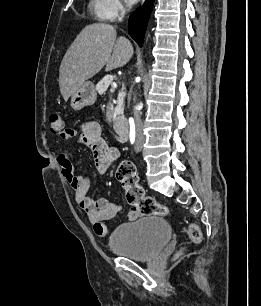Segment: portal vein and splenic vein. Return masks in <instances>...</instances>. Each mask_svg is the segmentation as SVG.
I'll return each mask as SVG.
<instances>
[{"mask_svg": "<svg viewBox=\"0 0 261 306\" xmlns=\"http://www.w3.org/2000/svg\"><path fill=\"white\" fill-rule=\"evenodd\" d=\"M112 87H117V84L115 82L112 83Z\"/></svg>", "mask_w": 261, "mask_h": 306, "instance_id": "obj_1", "label": "portal vein and splenic vein"}]
</instances>
